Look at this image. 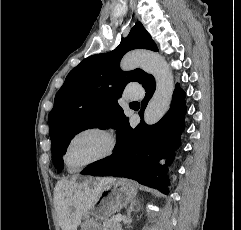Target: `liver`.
Returning <instances> with one entry per match:
<instances>
[{"label":"liver","instance_id":"obj_1","mask_svg":"<svg viewBox=\"0 0 241 230\" xmlns=\"http://www.w3.org/2000/svg\"><path fill=\"white\" fill-rule=\"evenodd\" d=\"M115 178H97L78 185L74 181H58L54 190V202L62 230H77L83 216L93 208L102 187Z\"/></svg>","mask_w":241,"mask_h":230}]
</instances>
